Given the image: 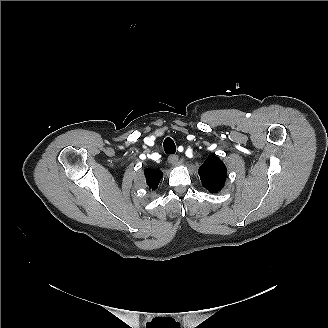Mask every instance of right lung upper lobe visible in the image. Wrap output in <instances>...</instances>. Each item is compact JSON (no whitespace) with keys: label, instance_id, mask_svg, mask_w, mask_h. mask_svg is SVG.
Here are the masks:
<instances>
[{"label":"right lung upper lobe","instance_id":"1","mask_svg":"<svg viewBox=\"0 0 328 328\" xmlns=\"http://www.w3.org/2000/svg\"><path fill=\"white\" fill-rule=\"evenodd\" d=\"M145 177H146V183L149 186V188L155 190L158 187L159 182L163 177V173L159 170L146 169Z\"/></svg>","mask_w":328,"mask_h":328}]
</instances>
